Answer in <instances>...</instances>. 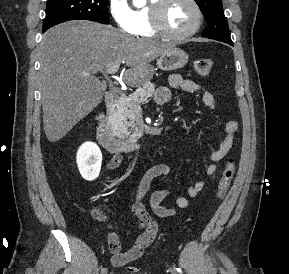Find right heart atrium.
Listing matches in <instances>:
<instances>
[{
	"label": "right heart atrium",
	"mask_w": 289,
	"mask_h": 274,
	"mask_svg": "<svg viewBox=\"0 0 289 274\" xmlns=\"http://www.w3.org/2000/svg\"><path fill=\"white\" fill-rule=\"evenodd\" d=\"M109 13L116 25L124 32L134 31V11L127 0H109Z\"/></svg>",
	"instance_id": "obj_1"
}]
</instances>
